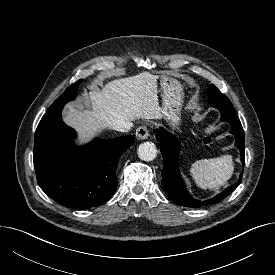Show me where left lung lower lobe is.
Segmentation results:
<instances>
[{
    "mask_svg": "<svg viewBox=\"0 0 275 275\" xmlns=\"http://www.w3.org/2000/svg\"><path fill=\"white\" fill-rule=\"evenodd\" d=\"M227 111L231 112V110L229 109ZM228 122L231 124L230 132L235 136V146L240 149L241 161L242 163H244V130L242 128L241 122L240 120H230ZM156 138L161 143L160 151L162 152L164 159L161 185L167 196L178 205L197 208L218 203L229 196L240 184L242 174H240V179L238 180V182L227 187L217 196L206 201H199L194 199L186 190L184 181L179 175L178 156L181 149L180 141L174 135L170 134L163 128L157 130Z\"/></svg>",
    "mask_w": 275,
    "mask_h": 275,
    "instance_id": "obj_1",
    "label": "left lung lower lobe"
}]
</instances>
